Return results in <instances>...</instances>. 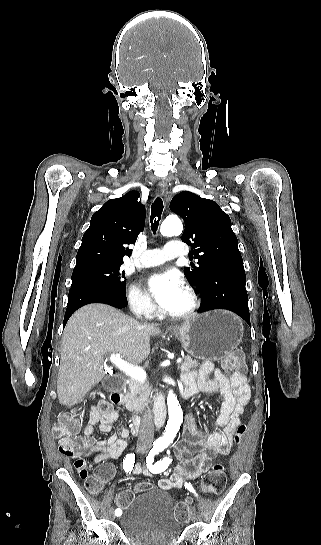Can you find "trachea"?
<instances>
[{"instance_id":"1","label":"trachea","mask_w":321,"mask_h":545,"mask_svg":"<svg viewBox=\"0 0 321 545\" xmlns=\"http://www.w3.org/2000/svg\"><path fill=\"white\" fill-rule=\"evenodd\" d=\"M162 212H163V201L160 197H158L155 199V201L152 203V206H151L150 223H151V229L153 233H156L158 229Z\"/></svg>"}]
</instances>
